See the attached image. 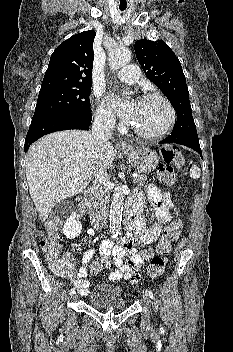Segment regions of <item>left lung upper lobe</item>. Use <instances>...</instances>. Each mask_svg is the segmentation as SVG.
<instances>
[{
    "instance_id": "obj_1",
    "label": "left lung upper lobe",
    "mask_w": 233,
    "mask_h": 352,
    "mask_svg": "<svg viewBox=\"0 0 233 352\" xmlns=\"http://www.w3.org/2000/svg\"><path fill=\"white\" fill-rule=\"evenodd\" d=\"M134 48L147 78L164 93L176 110L177 121L171 135L178 139L198 137L186 79L175 53L162 40L141 39Z\"/></svg>"
}]
</instances>
